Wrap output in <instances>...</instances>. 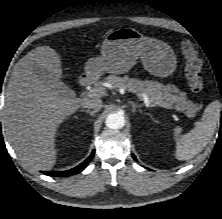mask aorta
<instances>
[{"label": "aorta", "instance_id": "aorta-1", "mask_svg": "<svg viewBox=\"0 0 222 219\" xmlns=\"http://www.w3.org/2000/svg\"><path fill=\"white\" fill-rule=\"evenodd\" d=\"M125 125V118L120 113H111L106 118V126L110 129H120Z\"/></svg>", "mask_w": 222, "mask_h": 219}]
</instances>
